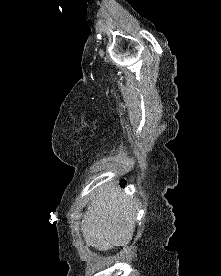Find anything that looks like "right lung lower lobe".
Returning <instances> with one entry per match:
<instances>
[{
  "mask_svg": "<svg viewBox=\"0 0 221 276\" xmlns=\"http://www.w3.org/2000/svg\"><path fill=\"white\" fill-rule=\"evenodd\" d=\"M121 185L124 186L125 185V181L121 180Z\"/></svg>",
  "mask_w": 221,
  "mask_h": 276,
  "instance_id": "right-lung-lower-lobe-1",
  "label": "right lung lower lobe"
}]
</instances>
